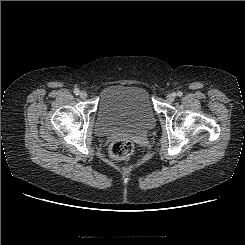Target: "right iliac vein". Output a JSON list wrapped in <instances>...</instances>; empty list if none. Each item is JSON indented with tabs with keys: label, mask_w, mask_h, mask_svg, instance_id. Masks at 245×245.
<instances>
[{
	"label": "right iliac vein",
	"mask_w": 245,
	"mask_h": 245,
	"mask_svg": "<svg viewBox=\"0 0 245 245\" xmlns=\"http://www.w3.org/2000/svg\"><path fill=\"white\" fill-rule=\"evenodd\" d=\"M87 92H85V91H81L80 93H79V97L81 98V99H86L87 98Z\"/></svg>",
	"instance_id": "obj_1"
}]
</instances>
